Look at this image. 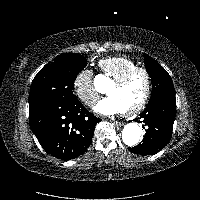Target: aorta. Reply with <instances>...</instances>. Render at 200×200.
<instances>
[{"label": "aorta", "mask_w": 200, "mask_h": 200, "mask_svg": "<svg viewBox=\"0 0 200 200\" xmlns=\"http://www.w3.org/2000/svg\"><path fill=\"white\" fill-rule=\"evenodd\" d=\"M141 137V129L136 123H128L122 131V140L127 146H135Z\"/></svg>", "instance_id": "1"}]
</instances>
